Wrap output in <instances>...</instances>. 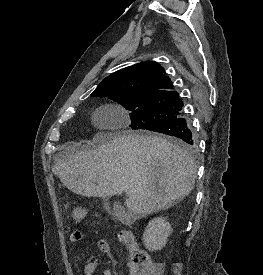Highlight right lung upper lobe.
I'll return each instance as SVG.
<instances>
[{"label":"right lung upper lobe","instance_id":"cb5924a9","mask_svg":"<svg viewBox=\"0 0 263 275\" xmlns=\"http://www.w3.org/2000/svg\"><path fill=\"white\" fill-rule=\"evenodd\" d=\"M173 87L172 81L158 63L146 61L109 75L93 93L122 90L137 96H178V93L172 90Z\"/></svg>","mask_w":263,"mask_h":275}]
</instances>
